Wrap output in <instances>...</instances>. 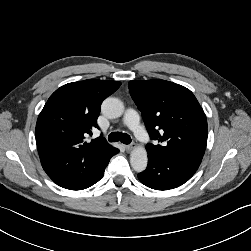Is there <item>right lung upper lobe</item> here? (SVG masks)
I'll return each mask as SVG.
<instances>
[{
    "mask_svg": "<svg viewBox=\"0 0 251 251\" xmlns=\"http://www.w3.org/2000/svg\"><path fill=\"white\" fill-rule=\"evenodd\" d=\"M120 85L118 81L89 79L63 85L50 96L36 124L38 153L48 176L81 174L112 150L102 136L90 143L84 139L98 127L102 101Z\"/></svg>",
    "mask_w": 251,
    "mask_h": 251,
    "instance_id": "right-lung-upper-lobe-1",
    "label": "right lung upper lobe"
}]
</instances>
